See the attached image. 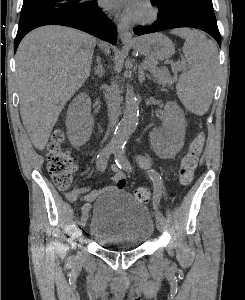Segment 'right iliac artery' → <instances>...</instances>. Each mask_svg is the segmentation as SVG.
<instances>
[{
  "label": "right iliac artery",
  "mask_w": 245,
  "mask_h": 300,
  "mask_svg": "<svg viewBox=\"0 0 245 300\" xmlns=\"http://www.w3.org/2000/svg\"><path fill=\"white\" fill-rule=\"evenodd\" d=\"M115 147L112 145H107L104 147L97 155L96 165L98 170L103 171L106 168L107 161L112 153H114ZM90 209V204L86 203L82 207V212H86Z\"/></svg>",
  "instance_id": "obj_1"
}]
</instances>
